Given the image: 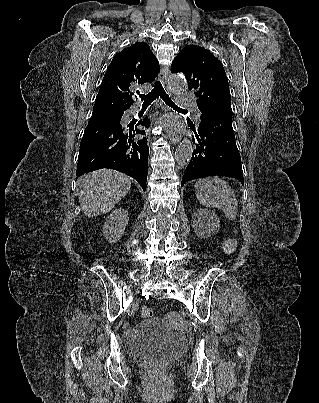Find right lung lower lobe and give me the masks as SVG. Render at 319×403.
<instances>
[{
  "mask_svg": "<svg viewBox=\"0 0 319 403\" xmlns=\"http://www.w3.org/2000/svg\"><path fill=\"white\" fill-rule=\"evenodd\" d=\"M124 111L90 118L84 131L78 156L77 176L102 168L115 169L136 179L146 190L148 173L147 139L141 126L149 127L148 118L121 125Z\"/></svg>",
  "mask_w": 319,
  "mask_h": 403,
  "instance_id": "1",
  "label": "right lung lower lobe"
}]
</instances>
